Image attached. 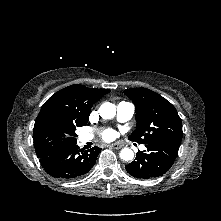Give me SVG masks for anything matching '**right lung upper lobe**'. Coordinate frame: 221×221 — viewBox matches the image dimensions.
I'll list each match as a JSON object with an SVG mask.
<instances>
[{
    "instance_id": "obj_1",
    "label": "right lung upper lobe",
    "mask_w": 221,
    "mask_h": 221,
    "mask_svg": "<svg viewBox=\"0 0 221 221\" xmlns=\"http://www.w3.org/2000/svg\"><path fill=\"white\" fill-rule=\"evenodd\" d=\"M107 89L87 88L81 84L68 86L52 95L42 106L39 115L43 113L62 114L87 124L90 109L100 100Z\"/></svg>"
}]
</instances>
